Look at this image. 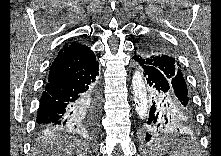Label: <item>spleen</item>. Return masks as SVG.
Masks as SVG:
<instances>
[{"mask_svg":"<svg viewBox=\"0 0 221 156\" xmlns=\"http://www.w3.org/2000/svg\"><path fill=\"white\" fill-rule=\"evenodd\" d=\"M178 155H181V156H193L192 153H189L188 151H184V150L179 152Z\"/></svg>","mask_w":221,"mask_h":156,"instance_id":"obj_1","label":"spleen"}]
</instances>
